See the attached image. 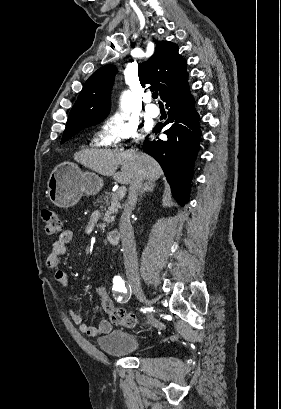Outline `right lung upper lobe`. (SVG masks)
<instances>
[{
  "label": "right lung upper lobe",
  "instance_id": "obj_1",
  "mask_svg": "<svg viewBox=\"0 0 281 409\" xmlns=\"http://www.w3.org/2000/svg\"><path fill=\"white\" fill-rule=\"evenodd\" d=\"M116 72L115 66L106 65L88 78L68 116L66 128L88 125L108 115ZM138 76L141 85L152 84L151 88L159 90L165 101L186 78V60L179 55L176 44L160 41L154 55L139 65Z\"/></svg>",
  "mask_w": 281,
  "mask_h": 409
}]
</instances>
